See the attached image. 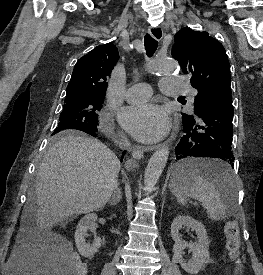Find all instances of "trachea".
Listing matches in <instances>:
<instances>
[{
    "label": "trachea",
    "mask_w": 263,
    "mask_h": 275,
    "mask_svg": "<svg viewBox=\"0 0 263 275\" xmlns=\"http://www.w3.org/2000/svg\"><path fill=\"white\" fill-rule=\"evenodd\" d=\"M144 46L147 56L151 57L158 47V41L154 39L151 35L146 34L144 37Z\"/></svg>",
    "instance_id": "3493384b"
}]
</instances>
